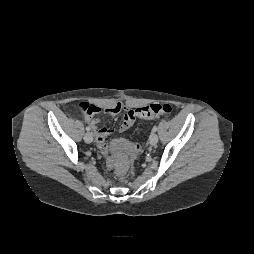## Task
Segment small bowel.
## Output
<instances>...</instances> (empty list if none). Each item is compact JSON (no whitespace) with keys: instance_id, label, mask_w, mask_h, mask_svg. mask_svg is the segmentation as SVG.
<instances>
[{"instance_id":"obj_1","label":"small bowel","mask_w":254,"mask_h":254,"mask_svg":"<svg viewBox=\"0 0 254 254\" xmlns=\"http://www.w3.org/2000/svg\"><path fill=\"white\" fill-rule=\"evenodd\" d=\"M104 113L107 117H114L119 113H123V120L120 124L119 131L125 132L127 131L136 120V116L134 115V110L125 106L123 103L119 102L113 106L106 107L104 109L100 107H96L95 114ZM88 122L93 130L96 142L98 147L103 151L106 152L108 149L107 138L113 133V130L106 127H100V120L97 118H88ZM138 153V147L136 146L135 149L129 150V154L133 157Z\"/></svg>"}]
</instances>
